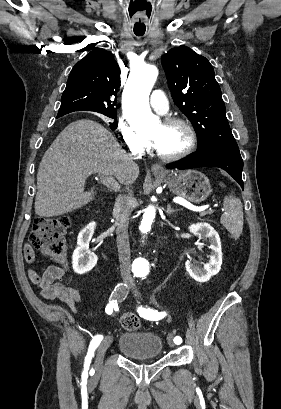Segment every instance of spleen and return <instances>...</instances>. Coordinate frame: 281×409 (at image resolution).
<instances>
[{
	"label": "spleen",
	"instance_id": "1",
	"mask_svg": "<svg viewBox=\"0 0 281 409\" xmlns=\"http://www.w3.org/2000/svg\"><path fill=\"white\" fill-rule=\"evenodd\" d=\"M224 213L221 223L234 239H239L243 231V207L237 196H226L224 198Z\"/></svg>",
	"mask_w": 281,
	"mask_h": 409
}]
</instances>
